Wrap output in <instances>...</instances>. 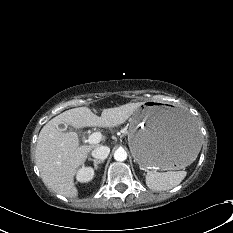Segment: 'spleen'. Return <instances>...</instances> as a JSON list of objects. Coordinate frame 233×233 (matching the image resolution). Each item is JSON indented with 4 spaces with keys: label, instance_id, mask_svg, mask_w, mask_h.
<instances>
[{
    "label": "spleen",
    "instance_id": "spleen-1",
    "mask_svg": "<svg viewBox=\"0 0 233 233\" xmlns=\"http://www.w3.org/2000/svg\"><path fill=\"white\" fill-rule=\"evenodd\" d=\"M185 175V171H168L164 173L149 171L146 175V185L156 191L169 190L179 185Z\"/></svg>",
    "mask_w": 233,
    "mask_h": 233
}]
</instances>
